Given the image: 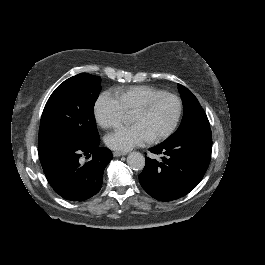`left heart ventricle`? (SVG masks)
I'll return each instance as SVG.
<instances>
[{
	"label": "left heart ventricle",
	"instance_id": "1",
	"mask_svg": "<svg viewBox=\"0 0 265 265\" xmlns=\"http://www.w3.org/2000/svg\"><path fill=\"white\" fill-rule=\"evenodd\" d=\"M176 111L177 103L173 99L161 97L147 111L133 113V123L142 125L148 135L153 138L172 123Z\"/></svg>",
	"mask_w": 265,
	"mask_h": 265
}]
</instances>
